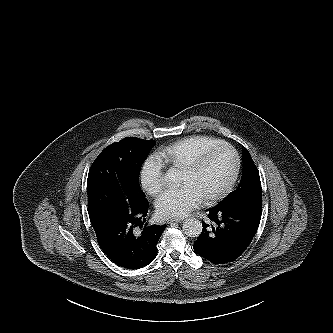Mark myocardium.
Segmentation results:
<instances>
[{"instance_id":"myocardium-1","label":"myocardium","mask_w":333,"mask_h":333,"mask_svg":"<svg viewBox=\"0 0 333 333\" xmlns=\"http://www.w3.org/2000/svg\"><path fill=\"white\" fill-rule=\"evenodd\" d=\"M224 147L229 148L234 153L235 168H234L231 178L226 183V185L221 190L216 192L215 194L210 195L204 199V202L206 204H213L215 202L222 200L234 188V186L238 180L240 171H241V157H240V154L237 151V149L231 143L226 142V141H221L217 144H214V145L206 148L202 152H200L192 161H190L188 164H186L184 167L181 168V171H184L187 173H195L204 165V163L206 162V160L212 153H214L216 150H218L220 148H224Z\"/></svg>"}]
</instances>
